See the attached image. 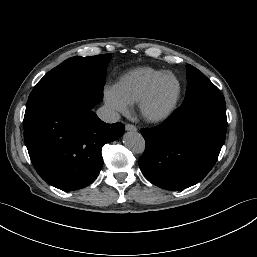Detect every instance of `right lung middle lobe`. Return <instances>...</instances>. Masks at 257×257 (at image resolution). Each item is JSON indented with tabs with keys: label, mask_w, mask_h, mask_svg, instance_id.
I'll use <instances>...</instances> for the list:
<instances>
[{
	"label": "right lung middle lobe",
	"mask_w": 257,
	"mask_h": 257,
	"mask_svg": "<svg viewBox=\"0 0 257 257\" xmlns=\"http://www.w3.org/2000/svg\"><path fill=\"white\" fill-rule=\"evenodd\" d=\"M111 59V54L92 57L75 56L65 60L49 71L33 88L41 89L59 83L71 81L86 82L94 87L99 95H103L105 85V71Z\"/></svg>",
	"instance_id": "right-lung-middle-lobe-1"
}]
</instances>
